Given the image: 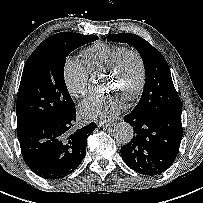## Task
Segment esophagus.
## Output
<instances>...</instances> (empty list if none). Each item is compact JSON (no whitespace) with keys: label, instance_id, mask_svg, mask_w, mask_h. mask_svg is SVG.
<instances>
[{"label":"esophagus","instance_id":"esophagus-1","mask_svg":"<svg viewBox=\"0 0 203 203\" xmlns=\"http://www.w3.org/2000/svg\"><path fill=\"white\" fill-rule=\"evenodd\" d=\"M97 125H98V127H100V128H107V127L113 126L114 123L98 122Z\"/></svg>","mask_w":203,"mask_h":203}]
</instances>
